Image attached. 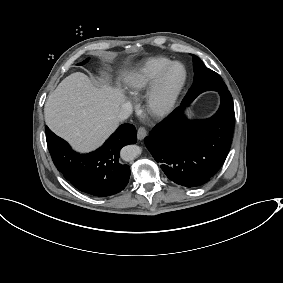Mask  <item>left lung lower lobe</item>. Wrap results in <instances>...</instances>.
<instances>
[{
  "instance_id": "0a47b994",
  "label": "left lung lower lobe",
  "mask_w": 283,
  "mask_h": 283,
  "mask_svg": "<svg viewBox=\"0 0 283 283\" xmlns=\"http://www.w3.org/2000/svg\"><path fill=\"white\" fill-rule=\"evenodd\" d=\"M221 105L204 120H188L181 105L157 124L144 141L166 176L176 184L191 188L208 182L223 165L234 129L233 99L228 89H218Z\"/></svg>"
}]
</instances>
